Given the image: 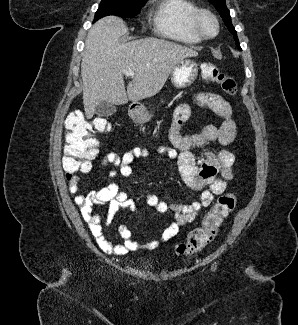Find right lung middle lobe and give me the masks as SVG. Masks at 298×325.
I'll use <instances>...</instances> for the list:
<instances>
[{
	"label": "right lung middle lobe",
	"mask_w": 298,
	"mask_h": 325,
	"mask_svg": "<svg viewBox=\"0 0 298 325\" xmlns=\"http://www.w3.org/2000/svg\"><path fill=\"white\" fill-rule=\"evenodd\" d=\"M144 4L145 2L135 0H102L95 13L94 22L107 15L134 17L139 14Z\"/></svg>",
	"instance_id": "1"
}]
</instances>
